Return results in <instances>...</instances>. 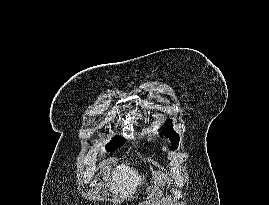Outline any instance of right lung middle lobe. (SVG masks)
<instances>
[{
    "label": "right lung middle lobe",
    "instance_id": "1",
    "mask_svg": "<svg viewBox=\"0 0 269 205\" xmlns=\"http://www.w3.org/2000/svg\"><path fill=\"white\" fill-rule=\"evenodd\" d=\"M126 140L122 137H114L111 142L106 146L108 151H113L119 147H121Z\"/></svg>",
    "mask_w": 269,
    "mask_h": 205
}]
</instances>
